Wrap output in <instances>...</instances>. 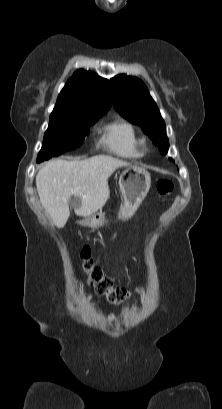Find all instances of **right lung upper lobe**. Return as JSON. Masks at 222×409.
Wrapping results in <instances>:
<instances>
[{
	"label": "right lung upper lobe",
	"instance_id": "1",
	"mask_svg": "<svg viewBox=\"0 0 222 409\" xmlns=\"http://www.w3.org/2000/svg\"><path fill=\"white\" fill-rule=\"evenodd\" d=\"M111 105L112 95L108 80L93 72L78 70L60 92L53 112L71 109L107 111Z\"/></svg>",
	"mask_w": 222,
	"mask_h": 409
}]
</instances>
